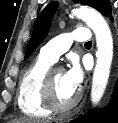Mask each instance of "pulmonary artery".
Returning <instances> with one entry per match:
<instances>
[{
    "mask_svg": "<svg viewBox=\"0 0 118 123\" xmlns=\"http://www.w3.org/2000/svg\"><path fill=\"white\" fill-rule=\"evenodd\" d=\"M89 39L90 31L88 28H75L72 32L63 33L44 45L40 49V56L55 63L70 48L73 41L83 42Z\"/></svg>",
    "mask_w": 118,
    "mask_h": 123,
    "instance_id": "pulmonary-artery-1",
    "label": "pulmonary artery"
}]
</instances>
